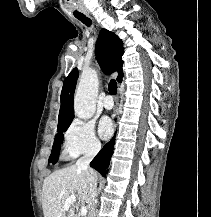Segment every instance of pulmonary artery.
<instances>
[{"label": "pulmonary artery", "instance_id": "e3ab8cb5", "mask_svg": "<svg viewBox=\"0 0 211 217\" xmlns=\"http://www.w3.org/2000/svg\"><path fill=\"white\" fill-rule=\"evenodd\" d=\"M113 106V98L110 95L106 96L103 100V107L107 110H110L113 108Z\"/></svg>", "mask_w": 211, "mask_h": 217}]
</instances>
